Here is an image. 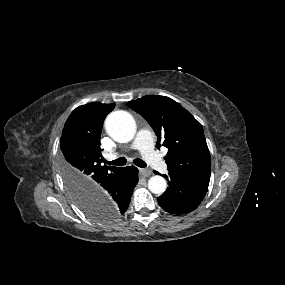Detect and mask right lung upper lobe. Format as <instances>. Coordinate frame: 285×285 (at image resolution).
<instances>
[{
	"instance_id": "1",
	"label": "right lung upper lobe",
	"mask_w": 285,
	"mask_h": 285,
	"mask_svg": "<svg viewBox=\"0 0 285 285\" xmlns=\"http://www.w3.org/2000/svg\"><path fill=\"white\" fill-rule=\"evenodd\" d=\"M115 104L89 103L76 108L66 121L60 140L62 172L78 197L90 201L95 189L122 167L101 166L103 121Z\"/></svg>"
}]
</instances>
